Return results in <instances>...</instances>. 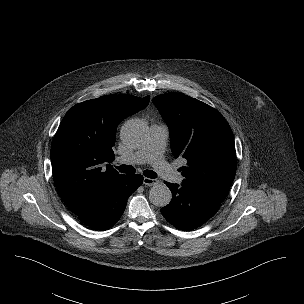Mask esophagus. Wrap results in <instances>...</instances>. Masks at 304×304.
Listing matches in <instances>:
<instances>
[{
    "label": "esophagus",
    "mask_w": 304,
    "mask_h": 304,
    "mask_svg": "<svg viewBox=\"0 0 304 304\" xmlns=\"http://www.w3.org/2000/svg\"><path fill=\"white\" fill-rule=\"evenodd\" d=\"M143 183L147 186H154V185H157L159 183V180L144 177Z\"/></svg>",
    "instance_id": "obj_1"
}]
</instances>
